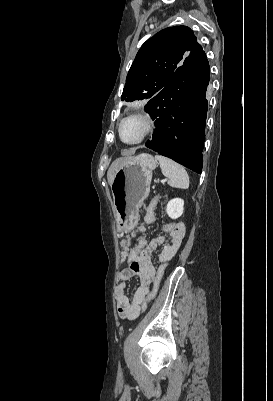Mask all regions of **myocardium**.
<instances>
[{"label": "myocardium", "mask_w": 273, "mask_h": 401, "mask_svg": "<svg viewBox=\"0 0 273 401\" xmlns=\"http://www.w3.org/2000/svg\"><path fill=\"white\" fill-rule=\"evenodd\" d=\"M128 118H136V119L140 120L144 125V131H143L142 135L133 142H125L121 138V132H120L121 125ZM156 128H157V123H156L155 118L150 113L139 111V112L129 113L128 115H126L125 117L120 119V121L117 124L116 130H117L118 139L122 144H124L126 146H135V145L141 144L144 141H146L156 131Z\"/></svg>", "instance_id": "myocardium-1"}]
</instances>
